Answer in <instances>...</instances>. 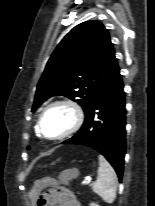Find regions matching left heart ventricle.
<instances>
[{
	"label": "left heart ventricle",
	"mask_w": 155,
	"mask_h": 206,
	"mask_svg": "<svg viewBox=\"0 0 155 206\" xmlns=\"http://www.w3.org/2000/svg\"><path fill=\"white\" fill-rule=\"evenodd\" d=\"M71 123V114L66 108L50 110L43 118L42 131L48 137H54L64 132Z\"/></svg>",
	"instance_id": "obj_1"
}]
</instances>
